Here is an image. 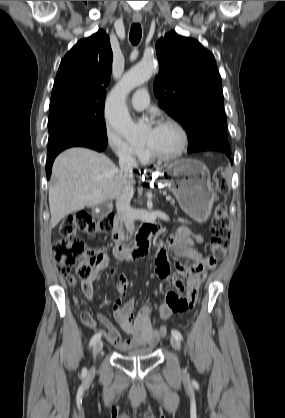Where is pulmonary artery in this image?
<instances>
[{
	"label": "pulmonary artery",
	"mask_w": 285,
	"mask_h": 418,
	"mask_svg": "<svg viewBox=\"0 0 285 418\" xmlns=\"http://www.w3.org/2000/svg\"><path fill=\"white\" fill-rule=\"evenodd\" d=\"M148 103V93L144 89L135 92L131 98V105L136 110L146 108L148 106Z\"/></svg>",
	"instance_id": "e3ab8cb5"
}]
</instances>
